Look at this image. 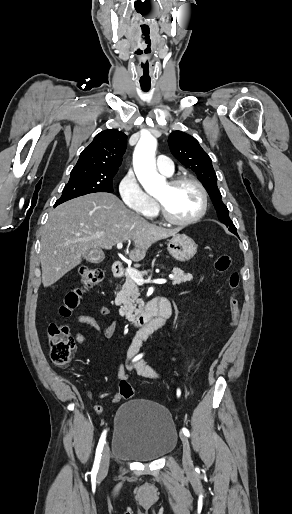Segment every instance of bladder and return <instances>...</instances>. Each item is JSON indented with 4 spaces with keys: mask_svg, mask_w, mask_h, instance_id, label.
Listing matches in <instances>:
<instances>
[{
    "mask_svg": "<svg viewBox=\"0 0 292 514\" xmlns=\"http://www.w3.org/2000/svg\"><path fill=\"white\" fill-rule=\"evenodd\" d=\"M178 433L170 412L146 399L123 403L114 419L112 453L119 460L151 462L176 446Z\"/></svg>",
    "mask_w": 292,
    "mask_h": 514,
    "instance_id": "obj_1",
    "label": "bladder"
}]
</instances>
